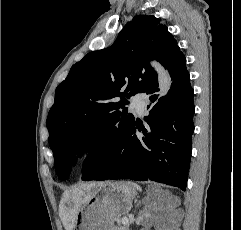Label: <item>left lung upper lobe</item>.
Returning a JSON list of instances; mask_svg holds the SVG:
<instances>
[{"instance_id":"left-lung-upper-lobe-1","label":"left lung upper lobe","mask_w":241,"mask_h":230,"mask_svg":"<svg viewBox=\"0 0 241 230\" xmlns=\"http://www.w3.org/2000/svg\"><path fill=\"white\" fill-rule=\"evenodd\" d=\"M181 53L158 18L141 15L121 30L109 48L90 52L71 67L56 88L46 122L60 179L68 178L78 150L114 141L135 121L125 107L131 96L157 82L150 59L168 69Z\"/></svg>"}]
</instances>
